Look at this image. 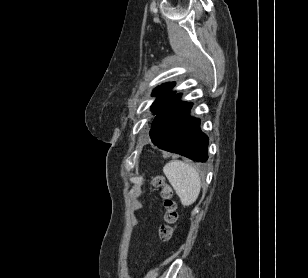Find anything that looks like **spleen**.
Masks as SVG:
<instances>
[{"instance_id": "obj_1", "label": "spleen", "mask_w": 308, "mask_h": 278, "mask_svg": "<svg viewBox=\"0 0 308 278\" xmlns=\"http://www.w3.org/2000/svg\"><path fill=\"white\" fill-rule=\"evenodd\" d=\"M163 172L184 206L197 200L201 179L195 167L181 160H171L163 167Z\"/></svg>"}]
</instances>
